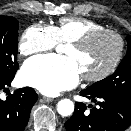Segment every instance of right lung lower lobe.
Returning a JSON list of instances; mask_svg holds the SVG:
<instances>
[{
	"instance_id": "98d812e1",
	"label": "right lung lower lobe",
	"mask_w": 131,
	"mask_h": 131,
	"mask_svg": "<svg viewBox=\"0 0 131 131\" xmlns=\"http://www.w3.org/2000/svg\"><path fill=\"white\" fill-rule=\"evenodd\" d=\"M13 78L0 81V90L8 86ZM37 99L38 95L31 87L17 90L6 100L0 99V131H24Z\"/></svg>"
}]
</instances>
